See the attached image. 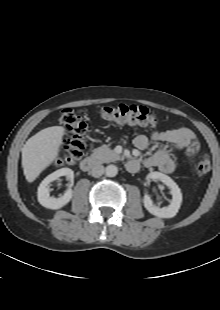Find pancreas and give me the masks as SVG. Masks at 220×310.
Returning a JSON list of instances; mask_svg holds the SVG:
<instances>
[{
	"label": "pancreas",
	"instance_id": "pancreas-1",
	"mask_svg": "<svg viewBox=\"0 0 220 310\" xmlns=\"http://www.w3.org/2000/svg\"><path fill=\"white\" fill-rule=\"evenodd\" d=\"M91 157L100 163L114 162L120 159V155L115 153L106 145L94 149Z\"/></svg>",
	"mask_w": 220,
	"mask_h": 310
}]
</instances>
